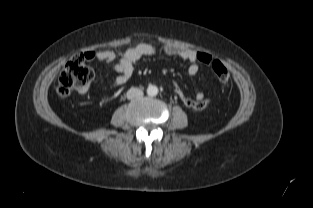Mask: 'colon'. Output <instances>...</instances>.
I'll list each match as a JSON object with an SVG mask.
<instances>
[{
    "mask_svg": "<svg viewBox=\"0 0 313 208\" xmlns=\"http://www.w3.org/2000/svg\"><path fill=\"white\" fill-rule=\"evenodd\" d=\"M197 58L200 63L212 67V70L220 83L227 84L230 81V74L220 60L214 59L210 54L205 52H197ZM88 59V55L80 54L67 62L58 79L57 93L59 96L66 97L72 91L82 90L90 84L94 77V73L86 63ZM175 92L185 106L194 110H201L209 103V100L207 99L197 101L196 99L188 97L178 86L175 88Z\"/></svg>",
    "mask_w": 313,
    "mask_h": 208,
    "instance_id": "5ec220e1",
    "label": "colon"
}]
</instances>
